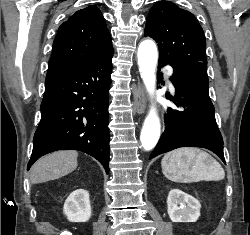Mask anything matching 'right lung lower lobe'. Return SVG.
I'll use <instances>...</instances> for the list:
<instances>
[{
  "label": "right lung lower lobe",
  "instance_id": "1",
  "mask_svg": "<svg viewBox=\"0 0 250 235\" xmlns=\"http://www.w3.org/2000/svg\"><path fill=\"white\" fill-rule=\"evenodd\" d=\"M112 56L113 49L80 68L47 74L28 169L45 154L72 149L96 158L108 174Z\"/></svg>",
  "mask_w": 250,
  "mask_h": 235
}]
</instances>
